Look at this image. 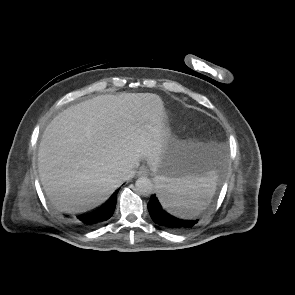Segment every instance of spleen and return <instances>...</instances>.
Listing matches in <instances>:
<instances>
[{"instance_id": "1", "label": "spleen", "mask_w": 295, "mask_h": 295, "mask_svg": "<svg viewBox=\"0 0 295 295\" xmlns=\"http://www.w3.org/2000/svg\"><path fill=\"white\" fill-rule=\"evenodd\" d=\"M162 206L175 216L193 219L206 209L216 190V171L200 177H155Z\"/></svg>"}]
</instances>
